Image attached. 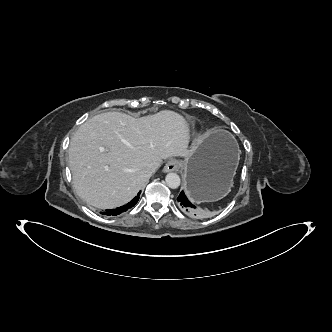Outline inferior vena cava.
<instances>
[{"label": "inferior vena cava", "mask_w": 332, "mask_h": 332, "mask_svg": "<svg viewBox=\"0 0 332 332\" xmlns=\"http://www.w3.org/2000/svg\"><path fill=\"white\" fill-rule=\"evenodd\" d=\"M155 171H156V169H155V167H154L153 165H150V166L148 167V173H149L150 175H152Z\"/></svg>", "instance_id": "obj_1"}]
</instances>
